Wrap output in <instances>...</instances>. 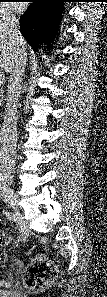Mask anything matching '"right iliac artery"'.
<instances>
[{"label": "right iliac artery", "mask_w": 107, "mask_h": 297, "mask_svg": "<svg viewBox=\"0 0 107 297\" xmlns=\"http://www.w3.org/2000/svg\"><path fill=\"white\" fill-rule=\"evenodd\" d=\"M2 196H6V195H3V193H2ZM5 201H6V199H5Z\"/></svg>", "instance_id": "82829eb1"}]
</instances>
